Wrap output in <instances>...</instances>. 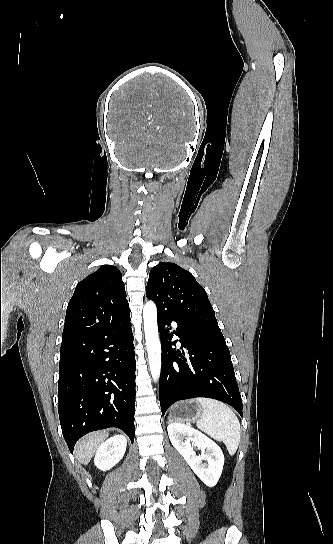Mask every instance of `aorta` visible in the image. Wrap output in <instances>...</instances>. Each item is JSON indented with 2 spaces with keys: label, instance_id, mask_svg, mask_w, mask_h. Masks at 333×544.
Masks as SVG:
<instances>
[{
  "label": "aorta",
  "instance_id": "obj_1",
  "mask_svg": "<svg viewBox=\"0 0 333 544\" xmlns=\"http://www.w3.org/2000/svg\"><path fill=\"white\" fill-rule=\"evenodd\" d=\"M144 331L151 376L157 381L161 372V344L157 327V308L148 301L143 309Z\"/></svg>",
  "mask_w": 333,
  "mask_h": 544
}]
</instances>
